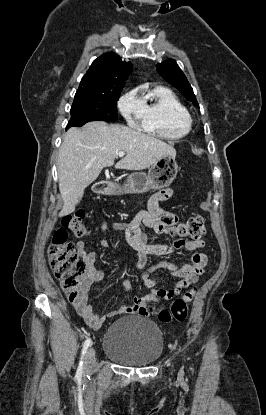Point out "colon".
Wrapping results in <instances>:
<instances>
[{
    "instance_id": "1",
    "label": "colon",
    "mask_w": 266,
    "mask_h": 415,
    "mask_svg": "<svg viewBox=\"0 0 266 415\" xmlns=\"http://www.w3.org/2000/svg\"><path fill=\"white\" fill-rule=\"evenodd\" d=\"M84 217L85 214L81 211L65 217L62 220V227L56 230L48 248L51 269L59 279L70 302L76 300L79 295L80 279L86 272V264L76 254L74 244L68 239L67 230L78 237L86 235ZM169 231L172 235L193 240L200 239L206 232L201 216H193L184 222L176 223ZM194 295L195 290H190L183 297L175 300L170 309L146 305L143 312L163 322H182L188 315L189 304Z\"/></svg>"
}]
</instances>
